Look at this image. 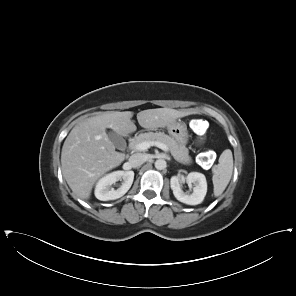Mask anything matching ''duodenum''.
<instances>
[{
	"label": "duodenum",
	"mask_w": 296,
	"mask_h": 296,
	"mask_svg": "<svg viewBox=\"0 0 296 296\" xmlns=\"http://www.w3.org/2000/svg\"><path fill=\"white\" fill-rule=\"evenodd\" d=\"M128 139H129V140H132V139H133V137H132V136H129V137H128Z\"/></svg>",
	"instance_id": "obj_1"
}]
</instances>
